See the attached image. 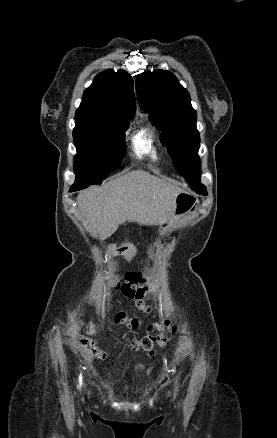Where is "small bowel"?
<instances>
[{
	"label": "small bowel",
	"mask_w": 277,
	"mask_h": 438,
	"mask_svg": "<svg viewBox=\"0 0 277 438\" xmlns=\"http://www.w3.org/2000/svg\"><path fill=\"white\" fill-rule=\"evenodd\" d=\"M79 344H80V346H82V347H88V346H90L91 341H90V339H88V338H82V339H80ZM88 353H90V355H92V356H95V355H102V356L100 357V360H101L102 362H105V361L107 360V357L104 355V354L106 353V350H105L104 348H95V347H92V348H90V350H89ZM135 369H136L137 371H140V372L145 373L146 375H150L151 372H152V367H145V366H143V365H141V364L136 365V366H135Z\"/></svg>",
	"instance_id": "obj_1"
}]
</instances>
